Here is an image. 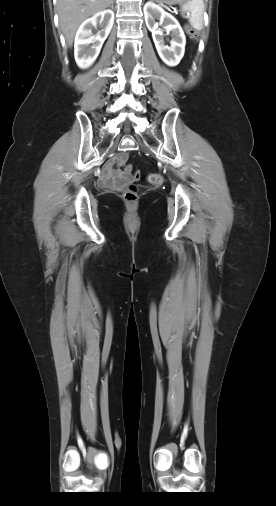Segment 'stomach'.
<instances>
[{"mask_svg": "<svg viewBox=\"0 0 276 506\" xmlns=\"http://www.w3.org/2000/svg\"><path fill=\"white\" fill-rule=\"evenodd\" d=\"M159 4L174 5L178 3H184L186 0H155Z\"/></svg>", "mask_w": 276, "mask_h": 506, "instance_id": "obj_1", "label": "stomach"}]
</instances>
